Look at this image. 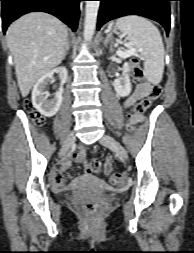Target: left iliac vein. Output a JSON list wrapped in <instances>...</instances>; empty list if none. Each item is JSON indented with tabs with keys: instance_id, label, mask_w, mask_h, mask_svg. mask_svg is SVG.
<instances>
[{
	"instance_id": "1",
	"label": "left iliac vein",
	"mask_w": 194,
	"mask_h": 253,
	"mask_svg": "<svg viewBox=\"0 0 194 253\" xmlns=\"http://www.w3.org/2000/svg\"><path fill=\"white\" fill-rule=\"evenodd\" d=\"M102 145L115 151L122 159L127 160L128 155L125 148L110 135H104L99 141Z\"/></svg>"
}]
</instances>
